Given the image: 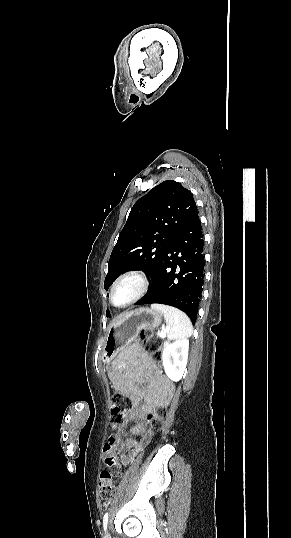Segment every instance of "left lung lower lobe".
Wrapping results in <instances>:
<instances>
[{
  "label": "left lung lower lobe",
  "instance_id": "1",
  "mask_svg": "<svg viewBox=\"0 0 291 538\" xmlns=\"http://www.w3.org/2000/svg\"><path fill=\"white\" fill-rule=\"evenodd\" d=\"M204 241L198 212L176 234L160 259L147 294L136 305L165 304L195 323L204 285Z\"/></svg>",
  "mask_w": 291,
  "mask_h": 538
}]
</instances>
